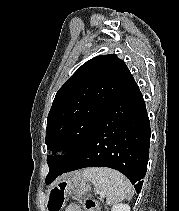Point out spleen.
<instances>
[{"instance_id":"spleen-1","label":"spleen","mask_w":179,"mask_h":211,"mask_svg":"<svg viewBox=\"0 0 179 211\" xmlns=\"http://www.w3.org/2000/svg\"><path fill=\"white\" fill-rule=\"evenodd\" d=\"M82 176L106 196V204L117 205L131 194V184L120 172L110 168H87Z\"/></svg>"}]
</instances>
